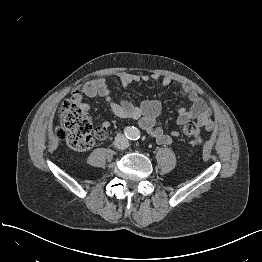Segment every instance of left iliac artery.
Segmentation results:
<instances>
[{"instance_id": "left-iliac-artery-1", "label": "left iliac artery", "mask_w": 262, "mask_h": 262, "mask_svg": "<svg viewBox=\"0 0 262 262\" xmlns=\"http://www.w3.org/2000/svg\"><path fill=\"white\" fill-rule=\"evenodd\" d=\"M140 138V133L137 129L134 130L133 140H138Z\"/></svg>"}]
</instances>
